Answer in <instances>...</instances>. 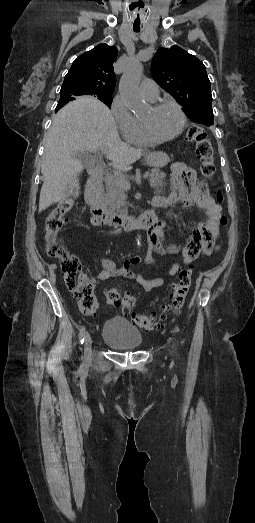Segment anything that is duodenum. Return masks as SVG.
I'll use <instances>...</instances> for the list:
<instances>
[{"mask_svg":"<svg viewBox=\"0 0 255 523\" xmlns=\"http://www.w3.org/2000/svg\"><path fill=\"white\" fill-rule=\"evenodd\" d=\"M104 172L105 166L100 162L91 163L88 166L90 178L86 186L85 201L91 209L92 224L118 227L125 231L137 228L152 229L158 222L157 210L168 206L167 199L154 198L152 201L154 209L138 216L113 213L107 208L103 198Z\"/></svg>","mask_w":255,"mask_h":523,"instance_id":"410a0bca","label":"duodenum"}]
</instances>
